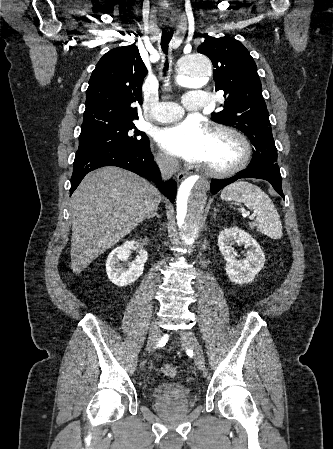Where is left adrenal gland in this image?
I'll use <instances>...</instances> for the list:
<instances>
[{
  "label": "left adrenal gland",
  "instance_id": "obj_1",
  "mask_svg": "<svg viewBox=\"0 0 333 449\" xmlns=\"http://www.w3.org/2000/svg\"><path fill=\"white\" fill-rule=\"evenodd\" d=\"M219 210L217 209V208H214V212H213V218H215L216 217V213L218 212Z\"/></svg>",
  "mask_w": 333,
  "mask_h": 449
}]
</instances>
